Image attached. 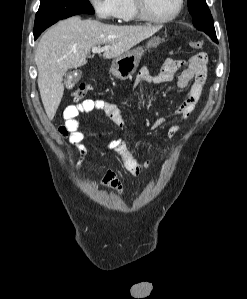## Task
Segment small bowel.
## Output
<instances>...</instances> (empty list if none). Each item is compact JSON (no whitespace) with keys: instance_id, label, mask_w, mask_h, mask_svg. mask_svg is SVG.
I'll list each match as a JSON object with an SVG mask.
<instances>
[{"instance_id":"obj_1","label":"small bowel","mask_w":247,"mask_h":299,"mask_svg":"<svg viewBox=\"0 0 247 299\" xmlns=\"http://www.w3.org/2000/svg\"><path fill=\"white\" fill-rule=\"evenodd\" d=\"M206 66L207 55L204 52L194 55L188 62H185L184 60L168 59L156 74L150 73L148 69H142L136 78V83L160 84L170 82L175 79L176 73L183 68L177 76L178 87L184 89L191 82L192 86L188 96L180 103L173 115L185 118L192 112L201 97L206 81ZM93 110L104 112L117 129L123 130L125 127V122L118 106L112 102L101 99H85L78 104L67 106L63 113L65 122L59 127V133L61 136L67 137L70 143L77 147L81 156L85 155L86 149L84 145L85 134L80 128L79 115L81 113L92 112ZM164 123V118H156L153 120L151 128L158 129L163 126ZM177 131L178 126L172 124L168 130L169 137L173 138L177 134ZM104 148L107 151H112L118 154L124 168L135 176L144 174L152 165L151 161L139 162L136 160L121 136H117L107 142ZM164 154L165 151H162L160 156H163ZM103 186L118 194H121L123 190L121 181L118 179L117 174L112 170L105 173Z\"/></svg>"}]
</instances>
